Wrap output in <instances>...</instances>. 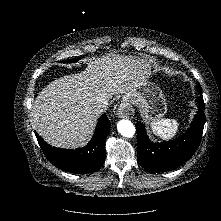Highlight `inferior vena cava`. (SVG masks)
I'll list each match as a JSON object with an SVG mask.
<instances>
[{"label":"inferior vena cava","mask_w":221,"mask_h":221,"mask_svg":"<svg viewBox=\"0 0 221 221\" xmlns=\"http://www.w3.org/2000/svg\"><path fill=\"white\" fill-rule=\"evenodd\" d=\"M97 102L101 107H105L108 104V101L103 97H97Z\"/></svg>","instance_id":"inferior-vena-cava-1"}]
</instances>
